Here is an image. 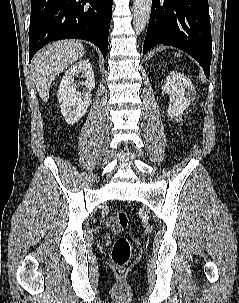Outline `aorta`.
Returning <instances> with one entry per match:
<instances>
[{"instance_id":"1","label":"aorta","mask_w":239,"mask_h":303,"mask_svg":"<svg viewBox=\"0 0 239 303\" xmlns=\"http://www.w3.org/2000/svg\"><path fill=\"white\" fill-rule=\"evenodd\" d=\"M152 0L133 1V25L137 33L142 32L150 19Z\"/></svg>"}]
</instances>
